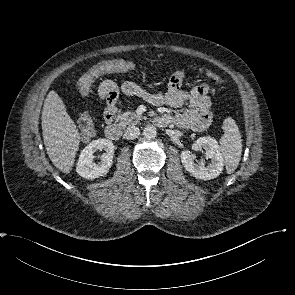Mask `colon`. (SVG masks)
Returning <instances> with one entry per match:
<instances>
[{
	"label": "colon",
	"instance_id": "1",
	"mask_svg": "<svg viewBox=\"0 0 295 295\" xmlns=\"http://www.w3.org/2000/svg\"><path fill=\"white\" fill-rule=\"evenodd\" d=\"M132 63V62H131ZM135 65L132 63H128L125 60H107L104 62H101L91 68L84 76L82 83H81V90L84 92H87L91 89V86L95 79L102 75V74H108V73H122L129 71L133 69ZM216 79L218 77L216 75H213ZM183 74L182 73H176L174 74L170 81L175 85V86H180L182 85L183 82ZM79 127L81 134L83 136L89 137L93 134L94 131V124H93V119L88 113L82 114V116L79 119Z\"/></svg>",
	"mask_w": 295,
	"mask_h": 295
}]
</instances>
